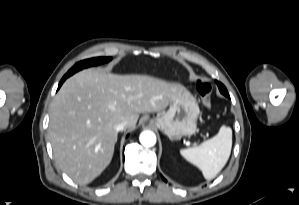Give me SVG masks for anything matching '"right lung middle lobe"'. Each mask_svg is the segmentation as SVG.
I'll return each instance as SVG.
<instances>
[{"label": "right lung middle lobe", "instance_id": "1", "mask_svg": "<svg viewBox=\"0 0 299 205\" xmlns=\"http://www.w3.org/2000/svg\"><path fill=\"white\" fill-rule=\"evenodd\" d=\"M111 60V57H97V58H92V59H88V60H84V61H80L78 63H76L68 72L67 74H65V76L63 78H67L71 75H73L75 72L83 69V68H87L90 66H94V65H99L102 63H106L109 62Z\"/></svg>", "mask_w": 299, "mask_h": 205}]
</instances>
